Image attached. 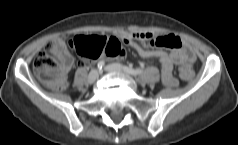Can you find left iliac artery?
I'll return each mask as SVG.
<instances>
[{"label": "left iliac artery", "instance_id": "left-iliac-artery-1", "mask_svg": "<svg viewBox=\"0 0 238 145\" xmlns=\"http://www.w3.org/2000/svg\"><path fill=\"white\" fill-rule=\"evenodd\" d=\"M124 70L133 75V76H137L140 75L144 72V69H140V68H132V67H128V66H123Z\"/></svg>", "mask_w": 238, "mask_h": 145}]
</instances>
